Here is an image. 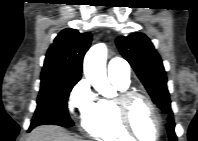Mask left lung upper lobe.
I'll use <instances>...</instances> for the list:
<instances>
[{
	"mask_svg": "<svg viewBox=\"0 0 198 141\" xmlns=\"http://www.w3.org/2000/svg\"><path fill=\"white\" fill-rule=\"evenodd\" d=\"M116 44L147 89L154 103L168 114L167 130L170 141H176L174 119L170 106L167 78L162 60L149 38L142 33L119 36Z\"/></svg>",
	"mask_w": 198,
	"mask_h": 141,
	"instance_id": "obj_1",
	"label": "left lung upper lobe"
}]
</instances>
